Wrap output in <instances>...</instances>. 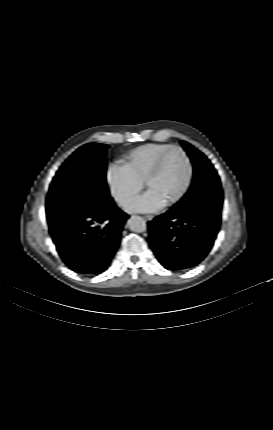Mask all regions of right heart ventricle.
<instances>
[{
	"label": "right heart ventricle",
	"mask_w": 273,
	"mask_h": 430,
	"mask_svg": "<svg viewBox=\"0 0 273 430\" xmlns=\"http://www.w3.org/2000/svg\"><path fill=\"white\" fill-rule=\"evenodd\" d=\"M170 146L164 143L143 144L125 154L122 164L139 181L144 182L159 155Z\"/></svg>",
	"instance_id": "right-heart-ventricle-1"
}]
</instances>
